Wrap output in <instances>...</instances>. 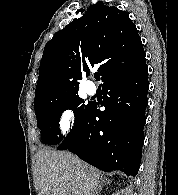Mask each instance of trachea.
Returning a JSON list of instances; mask_svg holds the SVG:
<instances>
[{
    "label": "trachea",
    "instance_id": "obj_1",
    "mask_svg": "<svg viewBox=\"0 0 178 195\" xmlns=\"http://www.w3.org/2000/svg\"><path fill=\"white\" fill-rule=\"evenodd\" d=\"M96 80H100V74H95Z\"/></svg>",
    "mask_w": 178,
    "mask_h": 195
}]
</instances>
